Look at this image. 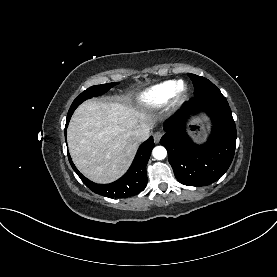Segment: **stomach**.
Listing matches in <instances>:
<instances>
[{
  "mask_svg": "<svg viewBox=\"0 0 277 277\" xmlns=\"http://www.w3.org/2000/svg\"><path fill=\"white\" fill-rule=\"evenodd\" d=\"M191 136L194 138L196 141H202L205 138V130L202 128L200 130L193 128L192 131H190Z\"/></svg>",
  "mask_w": 277,
  "mask_h": 277,
  "instance_id": "1",
  "label": "stomach"
}]
</instances>
